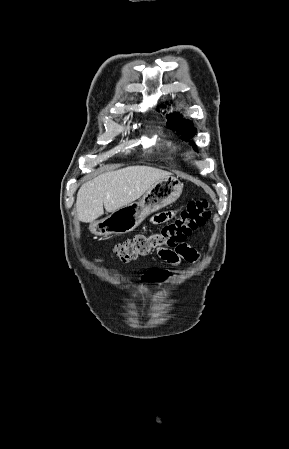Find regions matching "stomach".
Masks as SVG:
<instances>
[{
	"instance_id": "stomach-1",
	"label": "stomach",
	"mask_w": 289,
	"mask_h": 449,
	"mask_svg": "<svg viewBox=\"0 0 289 449\" xmlns=\"http://www.w3.org/2000/svg\"><path fill=\"white\" fill-rule=\"evenodd\" d=\"M183 191V183L167 176L153 184L138 202L130 203L109 216L90 224V231L100 237L133 231L151 213L175 202Z\"/></svg>"
}]
</instances>
